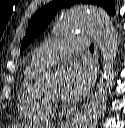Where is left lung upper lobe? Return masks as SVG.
<instances>
[{"label": "left lung upper lobe", "mask_w": 125, "mask_h": 128, "mask_svg": "<svg viewBox=\"0 0 125 128\" xmlns=\"http://www.w3.org/2000/svg\"><path fill=\"white\" fill-rule=\"evenodd\" d=\"M79 3L97 5L104 8L109 14H115L114 0H60L50 2L37 11L31 18L25 37L21 44L20 52L22 53L23 50L46 29L47 25L51 22L57 11L63 7H70Z\"/></svg>", "instance_id": "obj_1"}]
</instances>
